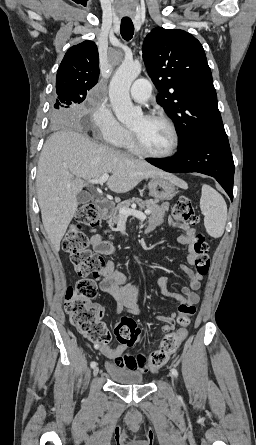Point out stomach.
Returning <instances> with one entry per match:
<instances>
[{
	"label": "stomach",
	"mask_w": 256,
	"mask_h": 445,
	"mask_svg": "<svg viewBox=\"0 0 256 445\" xmlns=\"http://www.w3.org/2000/svg\"><path fill=\"white\" fill-rule=\"evenodd\" d=\"M148 189L149 195L157 200H171L177 194V184L171 176L152 177Z\"/></svg>",
	"instance_id": "1"
}]
</instances>
